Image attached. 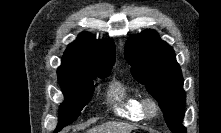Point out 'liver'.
I'll use <instances>...</instances> for the list:
<instances>
[{"label":"liver","instance_id":"1","mask_svg":"<svg viewBox=\"0 0 221 133\" xmlns=\"http://www.w3.org/2000/svg\"><path fill=\"white\" fill-rule=\"evenodd\" d=\"M133 129V126L125 123L109 122L94 127L86 133H131Z\"/></svg>","mask_w":221,"mask_h":133}]
</instances>
